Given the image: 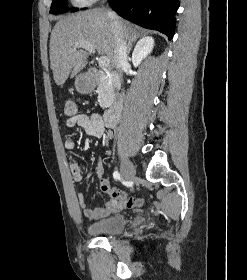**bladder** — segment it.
<instances>
[{"instance_id":"31cf9c89","label":"bladder","mask_w":247,"mask_h":280,"mask_svg":"<svg viewBox=\"0 0 247 280\" xmlns=\"http://www.w3.org/2000/svg\"><path fill=\"white\" fill-rule=\"evenodd\" d=\"M126 224V218L122 215H117L89 224L87 231L95 236L114 235L121 232Z\"/></svg>"}]
</instances>
